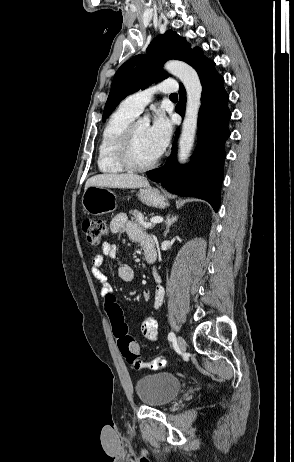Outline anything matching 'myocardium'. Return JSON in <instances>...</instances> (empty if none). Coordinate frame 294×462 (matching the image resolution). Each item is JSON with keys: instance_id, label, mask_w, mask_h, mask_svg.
Returning a JSON list of instances; mask_svg holds the SVG:
<instances>
[{"instance_id": "myocardium-1", "label": "myocardium", "mask_w": 294, "mask_h": 462, "mask_svg": "<svg viewBox=\"0 0 294 462\" xmlns=\"http://www.w3.org/2000/svg\"><path fill=\"white\" fill-rule=\"evenodd\" d=\"M139 122L132 121L122 131L115 150V157L117 162L126 170L141 172L153 168L160 160L161 154L155 157L148 163L139 164L133 157V141L136 127Z\"/></svg>"}]
</instances>
